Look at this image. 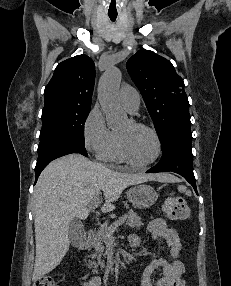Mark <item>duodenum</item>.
I'll return each mask as SVG.
<instances>
[{
	"label": "duodenum",
	"instance_id": "duodenum-1",
	"mask_svg": "<svg viewBox=\"0 0 231 286\" xmlns=\"http://www.w3.org/2000/svg\"><path fill=\"white\" fill-rule=\"evenodd\" d=\"M93 232L88 231L83 236H81L79 239H77L75 245L79 250H85L87 249L93 239Z\"/></svg>",
	"mask_w": 231,
	"mask_h": 286
}]
</instances>
